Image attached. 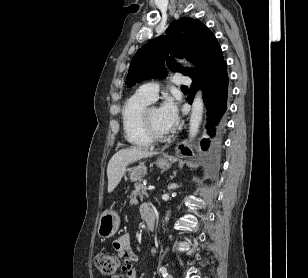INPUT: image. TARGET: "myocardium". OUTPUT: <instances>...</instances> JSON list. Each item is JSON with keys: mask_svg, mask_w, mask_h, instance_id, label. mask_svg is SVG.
<instances>
[{"mask_svg": "<svg viewBox=\"0 0 308 278\" xmlns=\"http://www.w3.org/2000/svg\"><path fill=\"white\" fill-rule=\"evenodd\" d=\"M154 108H155L154 106H147L143 110L141 115V122L146 134L152 139V141H161L165 139V135L156 132L149 120V112Z\"/></svg>", "mask_w": 308, "mask_h": 278, "instance_id": "obj_1", "label": "myocardium"}]
</instances>
